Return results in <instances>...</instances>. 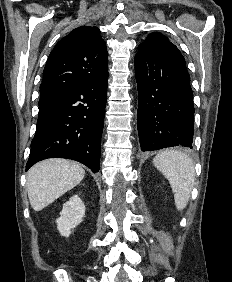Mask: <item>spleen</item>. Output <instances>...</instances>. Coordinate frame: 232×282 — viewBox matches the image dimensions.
Segmentation results:
<instances>
[{
  "mask_svg": "<svg viewBox=\"0 0 232 282\" xmlns=\"http://www.w3.org/2000/svg\"><path fill=\"white\" fill-rule=\"evenodd\" d=\"M153 164L168 179L174 192L176 208L183 210L187 206L194 183L192 159L179 151H165L153 159Z\"/></svg>",
  "mask_w": 232,
  "mask_h": 282,
  "instance_id": "3e777b00",
  "label": "spleen"
}]
</instances>
